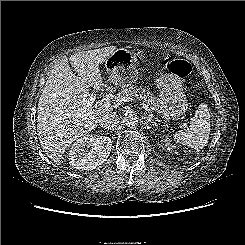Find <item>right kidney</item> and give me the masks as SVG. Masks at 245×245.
Segmentation results:
<instances>
[{
  "instance_id": "right-kidney-1",
  "label": "right kidney",
  "mask_w": 245,
  "mask_h": 245,
  "mask_svg": "<svg viewBox=\"0 0 245 245\" xmlns=\"http://www.w3.org/2000/svg\"><path fill=\"white\" fill-rule=\"evenodd\" d=\"M91 150L86 153V147ZM112 141L107 136L87 135L78 139L69 150V163L78 170H92L101 165L108 158Z\"/></svg>"
}]
</instances>
